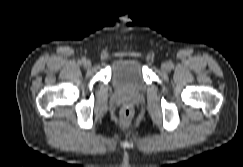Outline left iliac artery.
Masks as SVG:
<instances>
[{
    "instance_id": "left-iliac-artery-1",
    "label": "left iliac artery",
    "mask_w": 243,
    "mask_h": 167,
    "mask_svg": "<svg viewBox=\"0 0 243 167\" xmlns=\"http://www.w3.org/2000/svg\"><path fill=\"white\" fill-rule=\"evenodd\" d=\"M169 65H170V67H172V66H173V64H172V63H170Z\"/></svg>"
}]
</instances>
